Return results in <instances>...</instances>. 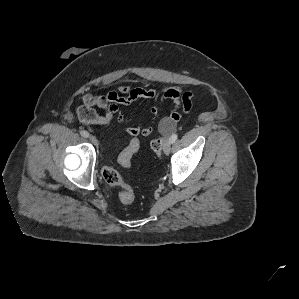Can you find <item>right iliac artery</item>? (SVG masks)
Segmentation results:
<instances>
[{
	"instance_id": "82829eb1",
	"label": "right iliac artery",
	"mask_w": 299,
	"mask_h": 299,
	"mask_svg": "<svg viewBox=\"0 0 299 299\" xmlns=\"http://www.w3.org/2000/svg\"><path fill=\"white\" fill-rule=\"evenodd\" d=\"M80 134H81V136H83L85 138H87L89 136V133L87 131H84V130L80 131Z\"/></svg>"
}]
</instances>
